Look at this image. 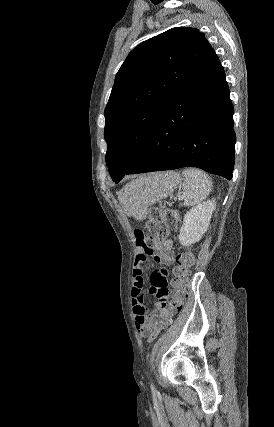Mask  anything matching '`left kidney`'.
Returning <instances> with one entry per match:
<instances>
[{
    "instance_id": "obj_1",
    "label": "left kidney",
    "mask_w": 274,
    "mask_h": 427,
    "mask_svg": "<svg viewBox=\"0 0 274 427\" xmlns=\"http://www.w3.org/2000/svg\"><path fill=\"white\" fill-rule=\"evenodd\" d=\"M216 208L215 200H208L203 204H198L188 214L184 215L182 227L178 235V239L182 245L189 247L191 243H196L201 239L203 233L207 231L211 219Z\"/></svg>"
}]
</instances>
